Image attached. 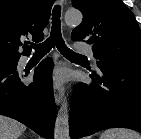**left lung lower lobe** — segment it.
Here are the masks:
<instances>
[{"instance_id":"1","label":"left lung lower lobe","mask_w":141,"mask_h":139,"mask_svg":"<svg viewBox=\"0 0 141 139\" xmlns=\"http://www.w3.org/2000/svg\"><path fill=\"white\" fill-rule=\"evenodd\" d=\"M93 83L74 87L69 127L72 139L107 128L141 132V68L100 65Z\"/></svg>"}]
</instances>
